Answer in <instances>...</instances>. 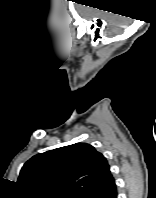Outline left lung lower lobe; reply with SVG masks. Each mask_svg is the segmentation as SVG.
Returning a JSON list of instances; mask_svg holds the SVG:
<instances>
[{
  "instance_id": "0a47b994",
  "label": "left lung lower lobe",
  "mask_w": 156,
  "mask_h": 198,
  "mask_svg": "<svg viewBox=\"0 0 156 198\" xmlns=\"http://www.w3.org/2000/svg\"><path fill=\"white\" fill-rule=\"evenodd\" d=\"M87 198H117L115 179L111 175L108 180Z\"/></svg>"
}]
</instances>
